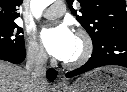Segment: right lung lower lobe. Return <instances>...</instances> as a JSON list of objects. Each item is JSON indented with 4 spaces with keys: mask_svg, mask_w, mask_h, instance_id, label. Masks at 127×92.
Here are the masks:
<instances>
[{
    "mask_svg": "<svg viewBox=\"0 0 127 92\" xmlns=\"http://www.w3.org/2000/svg\"><path fill=\"white\" fill-rule=\"evenodd\" d=\"M25 56V49H14L9 46L0 45V59L2 60L9 61L14 64H19L25 59ZM56 75L57 72L54 69H49L47 71V78L50 81H53Z\"/></svg>",
    "mask_w": 127,
    "mask_h": 92,
    "instance_id": "98d812e1",
    "label": "right lung lower lobe"
}]
</instances>
